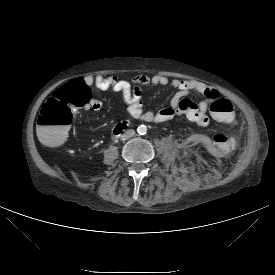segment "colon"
Instances as JSON below:
<instances>
[{"mask_svg": "<svg viewBox=\"0 0 275 275\" xmlns=\"http://www.w3.org/2000/svg\"><path fill=\"white\" fill-rule=\"evenodd\" d=\"M89 99V88L80 79L59 87L40 110L37 120L40 141L47 146L62 143L68 136L74 111L85 107ZM210 110L220 121H231L235 117L231 101L220 96L211 97Z\"/></svg>", "mask_w": 275, "mask_h": 275, "instance_id": "1", "label": "colon"}]
</instances>
